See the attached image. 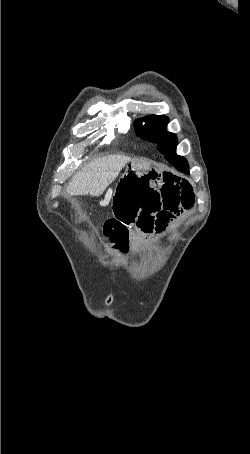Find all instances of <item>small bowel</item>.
Segmentation results:
<instances>
[{"label": "small bowel", "instance_id": "small-bowel-1", "mask_svg": "<svg viewBox=\"0 0 250 454\" xmlns=\"http://www.w3.org/2000/svg\"><path fill=\"white\" fill-rule=\"evenodd\" d=\"M194 201L193 187L186 179L129 171L114 187V216L106 221L104 234L118 249L127 251L131 240L129 227L135 226L144 233L163 231Z\"/></svg>", "mask_w": 250, "mask_h": 454}]
</instances>
